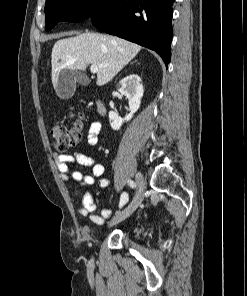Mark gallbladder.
Instances as JSON below:
<instances>
[{"label": "gallbladder", "instance_id": "1", "mask_svg": "<svg viewBox=\"0 0 247 296\" xmlns=\"http://www.w3.org/2000/svg\"><path fill=\"white\" fill-rule=\"evenodd\" d=\"M76 78L82 85H88L89 79L82 74L75 75L69 70H63L58 75L57 94L60 99L71 98L76 89Z\"/></svg>", "mask_w": 247, "mask_h": 296}]
</instances>
